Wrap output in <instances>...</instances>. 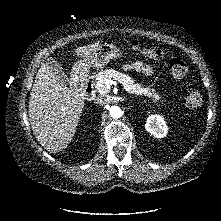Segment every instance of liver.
I'll return each mask as SVG.
<instances>
[{"label": "liver", "mask_w": 221, "mask_h": 221, "mask_svg": "<svg viewBox=\"0 0 221 221\" xmlns=\"http://www.w3.org/2000/svg\"><path fill=\"white\" fill-rule=\"evenodd\" d=\"M99 46V43L89 44L74 52L89 58ZM84 105L82 96L61 83L48 64L43 63L36 75L28 108L31 128L39 144L51 153L65 149L76 133Z\"/></svg>", "instance_id": "6515ba94"}]
</instances>
